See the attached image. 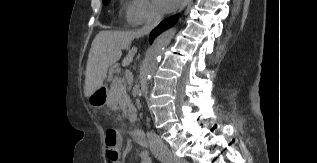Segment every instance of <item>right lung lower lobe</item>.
<instances>
[{
  "mask_svg": "<svg viewBox=\"0 0 317 163\" xmlns=\"http://www.w3.org/2000/svg\"><path fill=\"white\" fill-rule=\"evenodd\" d=\"M177 20V16L170 17L162 21L150 34L149 40L152 43L153 39L162 31L166 30L167 28L171 27Z\"/></svg>",
  "mask_w": 317,
  "mask_h": 163,
  "instance_id": "right-lung-lower-lobe-1",
  "label": "right lung lower lobe"
}]
</instances>
